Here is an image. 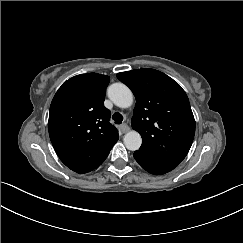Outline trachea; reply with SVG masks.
<instances>
[{"instance_id":"trachea-1","label":"trachea","mask_w":243,"mask_h":243,"mask_svg":"<svg viewBox=\"0 0 243 243\" xmlns=\"http://www.w3.org/2000/svg\"><path fill=\"white\" fill-rule=\"evenodd\" d=\"M112 118L116 124H121L123 122V116L119 112L114 113Z\"/></svg>"}]
</instances>
